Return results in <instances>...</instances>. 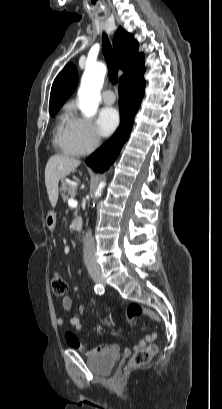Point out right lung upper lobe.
<instances>
[{
  "label": "right lung upper lobe",
  "instance_id": "1",
  "mask_svg": "<svg viewBox=\"0 0 222 409\" xmlns=\"http://www.w3.org/2000/svg\"><path fill=\"white\" fill-rule=\"evenodd\" d=\"M114 52L118 58L119 68L124 71L119 83L143 74L144 55L138 53V42L133 35L119 27L113 38ZM77 70L73 64H69L55 78L50 95V112L61 108L66 99L77 86Z\"/></svg>",
  "mask_w": 222,
  "mask_h": 409
}]
</instances>
